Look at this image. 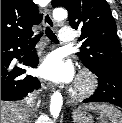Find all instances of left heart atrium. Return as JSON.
I'll list each match as a JSON object with an SVG mask.
<instances>
[{
    "instance_id": "obj_1",
    "label": "left heart atrium",
    "mask_w": 122,
    "mask_h": 123,
    "mask_svg": "<svg viewBox=\"0 0 122 123\" xmlns=\"http://www.w3.org/2000/svg\"><path fill=\"white\" fill-rule=\"evenodd\" d=\"M38 73L44 79L62 83L71 82L74 76L71 64L65 62L57 53H52L43 60Z\"/></svg>"
}]
</instances>
